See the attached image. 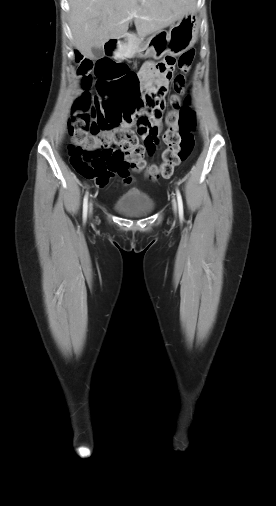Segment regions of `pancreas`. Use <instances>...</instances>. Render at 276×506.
<instances>
[{
	"mask_svg": "<svg viewBox=\"0 0 276 506\" xmlns=\"http://www.w3.org/2000/svg\"><path fill=\"white\" fill-rule=\"evenodd\" d=\"M141 41H142V38L138 37L135 34L128 33L127 34V44H126V46L119 47V49L116 53V57L122 58L125 56L126 51L136 50L139 47V45L141 44Z\"/></svg>",
	"mask_w": 276,
	"mask_h": 506,
	"instance_id": "obj_1",
	"label": "pancreas"
}]
</instances>
